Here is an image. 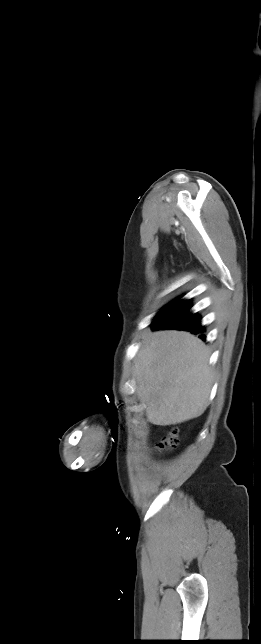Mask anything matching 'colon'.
I'll list each match as a JSON object with an SVG mask.
<instances>
[{"label":"colon","instance_id":"1","mask_svg":"<svg viewBox=\"0 0 261 644\" xmlns=\"http://www.w3.org/2000/svg\"><path fill=\"white\" fill-rule=\"evenodd\" d=\"M178 443V437L176 430H171L158 444L156 451L161 452L165 450H170L176 447Z\"/></svg>","mask_w":261,"mask_h":644}]
</instances>
